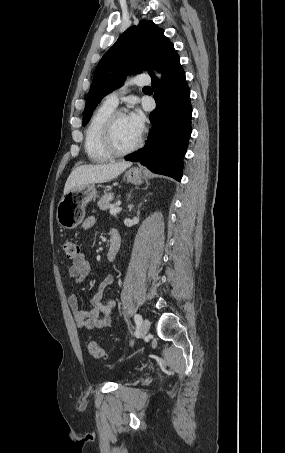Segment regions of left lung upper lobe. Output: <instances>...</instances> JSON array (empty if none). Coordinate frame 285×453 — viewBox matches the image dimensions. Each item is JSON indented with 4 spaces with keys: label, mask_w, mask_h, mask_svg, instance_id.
Masks as SVG:
<instances>
[{
    "label": "left lung upper lobe",
    "mask_w": 285,
    "mask_h": 453,
    "mask_svg": "<svg viewBox=\"0 0 285 453\" xmlns=\"http://www.w3.org/2000/svg\"><path fill=\"white\" fill-rule=\"evenodd\" d=\"M173 47L164 30L153 21L141 20L127 29L99 61L87 96L83 126L90 120L101 99L118 88L127 74L141 72L150 66L159 69L162 60Z\"/></svg>",
    "instance_id": "5c2ea615"
}]
</instances>
